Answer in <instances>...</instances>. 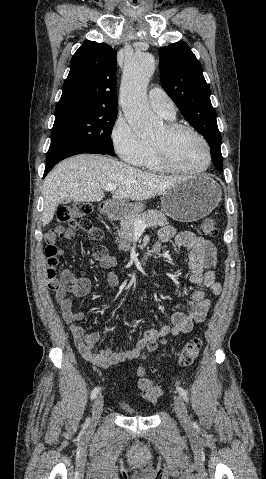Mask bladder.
<instances>
[{"instance_id": "31cf9c89", "label": "bladder", "mask_w": 266, "mask_h": 479, "mask_svg": "<svg viewBox=\"0 0 266 479\" xmlns=\"http://www.w3.org/2000/svg\"><path fill=\"white\" fill-rule=\"evenodd\" d=\"M121 408L128 414L130 415H134L136 414V411H134L133 409L129 408L128 406L126 405H121Z\"/></svg>"}]
</instances>
